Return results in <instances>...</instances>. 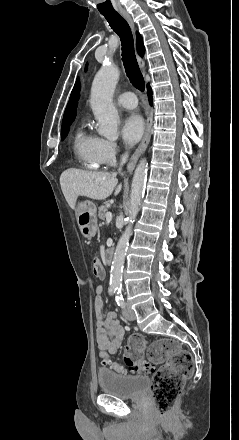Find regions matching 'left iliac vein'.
I'll list each match as a JSON object with an SVG mask.
<instances>
[{
  "label": "left iliac vein",
  "instance_id": "4c4485c4",
  "mask_svg": "<svg viewBox=\"0 0 239 440\" xmlns=\"http://www.w3.org/2000/svg\"><path fill=\"white\" fill-rule=\"evenodd\" d=\"M122 314L125 319L130 321H133L136 318L134 311L128 306L122 310Z\"/></svg>",
  "mask_w": 239,
  "mask_h": 440
}]
</instances>
